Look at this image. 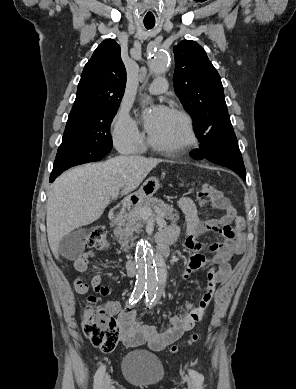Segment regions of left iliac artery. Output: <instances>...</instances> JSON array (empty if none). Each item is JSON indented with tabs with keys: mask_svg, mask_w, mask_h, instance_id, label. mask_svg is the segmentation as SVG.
<instances>
[{
	"mask_svg": "<svg viewBox=\"0 0 296 389\" xmlns=\"http://www.w3.org/2000/svg\"><path fill=\"white\" fill-rule=\"evenodd\" d=\"M146 298H147V291H146ZM189 375L197 385V388L203 389V376L193 369L189 370Z\"/></svg>",
	"mask_w": 296,
	"mask_h": 389,
	"instance_id": "obj_1",
	"label": "left iliac artery"
}]
</instances>
